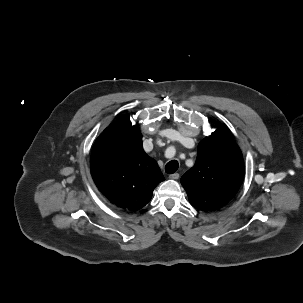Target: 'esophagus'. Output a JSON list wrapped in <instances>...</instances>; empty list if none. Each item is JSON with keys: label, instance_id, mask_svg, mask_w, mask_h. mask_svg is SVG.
Masks as SVG:
<instances>
[{"label": "esophagus", "instance_id": "esophagus-1", "mask_svg": "<svg viewBox=\"0 0 303 303\" xmlns=\"http://www.w3.org/2000/svg\"><path fill=\"white\" fill-rule=\"evenodd\" d=\"M169 178L173 180H177L179 178V174L178 173L171 174L169 175Z\"/></svg>", "mask_w": 303, "mask_h": 303}]
</instances>
